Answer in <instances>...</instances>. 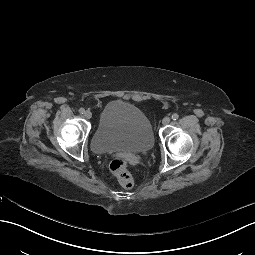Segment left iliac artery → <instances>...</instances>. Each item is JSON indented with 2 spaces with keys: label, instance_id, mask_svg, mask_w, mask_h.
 <instances>
[{
  "label": "left iliac artery",
  "instance_id": "44dca946",
  "mask_svg": "<svg viewBox=\"0 0 255 255\" xmlns=\"http://www.w3.org/2000/svg\"><path fill=\"white\" fill-rule=\"evenodd\" d=\"M171 118L172 120H177L179 118V115L177 113H174Z\"/></svg>",
  "mask_w": 255,
  "mask_h": 255
}]
</instances>
